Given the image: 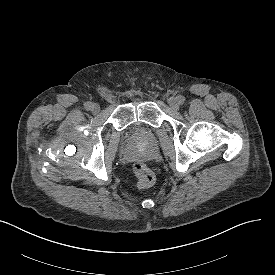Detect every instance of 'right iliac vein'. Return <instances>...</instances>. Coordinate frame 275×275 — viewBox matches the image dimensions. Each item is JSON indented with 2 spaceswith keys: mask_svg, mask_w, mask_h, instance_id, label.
I'll list each match as a JSON object with an SVG mask.
<instances>
[{
  "mask_svg": "<svg viewBox=\"0 0 275 275\" xmlns=\"http://www.w3.org/2000/svg\"><path fill=\"white\" fill-rule=\"evenodd\" d=\"M91 111L94 114H97L100 111V106L97 103H92V105H91Z\"/></svg>",
  "mask_w": 275,
  "mask_h": 275,
  "instance_id": "63e3f726",
  "label": "right iliac vein"
}]
</instances>
